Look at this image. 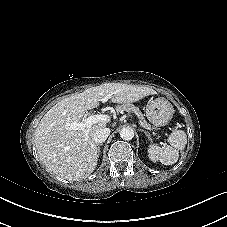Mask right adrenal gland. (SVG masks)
Returning <instances> with one entry per match:
<instances>
[{"label":"right adrenal gland","instance_id":"right-adrenal-gland-1","mask_svg":"<svg viewBox=\"0 0 227 227\" xmlns=\"http://www.w3.org/2000/svg\"><path fill=\"white\" fill-rule=\"evenodd\" d=\"M102 144L97 145V151H98V155L100 154V147Z\"/></svg>","mask_w":227,"mask_h":227}]
</instances>
